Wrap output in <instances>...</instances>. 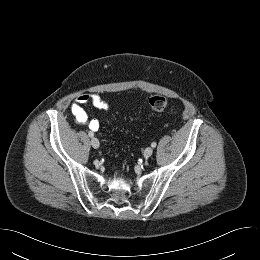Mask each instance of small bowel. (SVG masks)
<instances>
[{
  "label": "small bowel",
  "mask_w": 260,
  "mask_h": 260,
  "mask_svg": "<svg viewBox=\"0 0 260 260\" xmlns=\"http://www.w3.org/2000/svg\"><path fill=\"white\" fill-rule=\"evenodd\" d=\"M88 103L101 110H108L109 104L97 93H85L77 96L70 106L76 124L87 125L90 130L97 131L100 127L98 120L90 119L83 108V106Z\"/></svg>",
  "instance_id": "c3829d8e"
}]
</instances>
